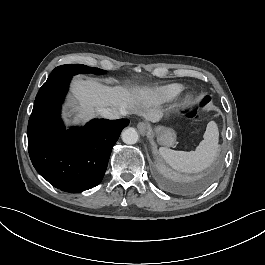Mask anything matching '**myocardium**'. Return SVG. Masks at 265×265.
Masks as SVG:
<instances>
[{
	"instance_id": "myocardium-1",
	"label": "myocardium",
	"mask_w": 265,
	"mask_h": 265,
	"mask_svg": "<svg viewBox=\"0 0 265 265\" xmlns=\"http://www.w3.org/2000/svg\"><path fill=\"white\" fill-rule=\"evenodd\" d=\"M197 100V92L193 89H185L179 99L180 107H188L193 105Z\"/></svg>"
}]
</instances>
